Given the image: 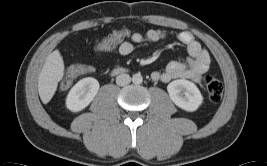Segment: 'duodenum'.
Masks as SVG:
<instances>
[{"label":"duodenum","mask_w":267,"mask_h":166,"mask_svg":"<svg viewBox=\"0 0 267 166\" xmlns=\"http://www.w3.org/2000/svg\"><path fill=\"white\" fill-rule=\"evenodd\" d=\"M114 72L116 73V72H120V69L119 68H116V69H114Z\"/></svg>","instance_id":"1"}]
</instances>
